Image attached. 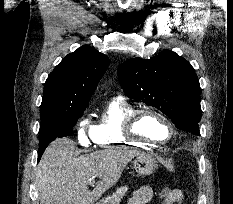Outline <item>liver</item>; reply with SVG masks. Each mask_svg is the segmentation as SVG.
Returning a JSON list of instances; mask_svg holds the SVG:
<instances>
[{
    "instance_id": "liver-1",
    "label": "liver",
    "mask_w": 233,
    "mask_h": 204,
    "mask_svg": "<svg viewBox=\"0 0 233 204\" xmlns=\"http://www.w3.org/2000/svg\"><path fill=\"white\" fill-rule=\"evenodd\" d=\"M76 143L59 138L46 148L36 169L35 185L40 204H94L113 187L123 169L141 153L130 149H107L76 156ZM99 182L89 190L90 180Z\"/></svg>"
}]
</instances>
